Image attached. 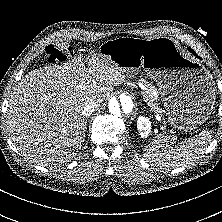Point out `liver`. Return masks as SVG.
<instances>
[{"instance_id":"liver-1","label":"liver","mask_w":222,"mask_h":222,"mask_svg":"<svg viewBox=\"0 0 222 222\" xmlns=\"http://www.w3.org/2000/svg\"><path fill=\"white\" fill-rule=\"evenodd\" d=\"M124 73L98 54L87 63L79 55L26 74L11 93L5 116L17 149L42 166L72 160L85 139V102L99 106L126 79Z\"/></svg>"}]
</instances>
